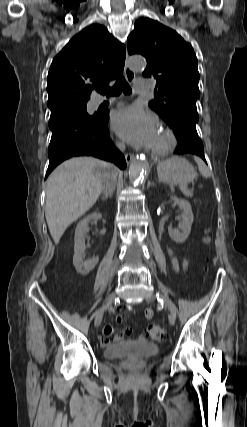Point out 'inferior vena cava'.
Here are the masks:
<instances>
[{
    "label": "inferior vena cava",
    "instance_id": "obj_1",
    "mask_svg": "<svg viewBox=\"0 0 247 427\" xmlns=\"http://www.w3.org/2000/svg\"><path fill=\"white\" fill-rule=\"evenodd\" d=\"M117 146L121 151L125 150L124 143H118ZM109 166L110 171L105 175L102 185V192L105 194V196H111L116 186L117 169L111 164H109Z\"/></svg>",
    "mask_w": 247,
    "mask_h": 427
}]
</instances>
